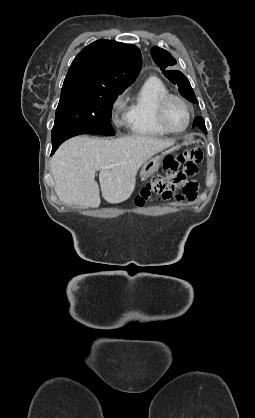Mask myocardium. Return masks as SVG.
<instances>
[{
	"label": "myocardium",
	"mask_w": 255,
	"mask_h": 418,
	"mask_svg": "<svg viewBox=\"0 0 255 418\" xmlns=\"http://www.w3.org/2000/svg\"><path fill=\"white\" fill-rule=\"evenodd\" d=\"M172 100L179 101L180 103H182L184 105V107L187 110V123L181 129L171 128L166 121L167 106L170 103V101H172ZM156 117H157V121H158L159 125L164 130H166L168 133L178 134V133L184 132L189 127V125L191 124V121H192V107L189 104V102L185 98H183L182 96L177 95V94H173V93H167L164 96H162L158 101L157 110H156Z\"/></svg>",
	"instance_id": "obj_1"
}]
</instances>
